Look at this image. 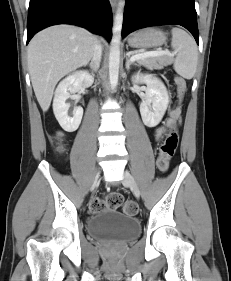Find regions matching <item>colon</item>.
<instances>
[{"label":"colon","instance_id":"obj_1","mask_svg":"<svg viewBox=\"0 0 231 281\" xmlns=\"http://www.w3.org/2000/svg\"><path fill=\"white\" fill-rule=\"evenodd\" d=\"M175 85L177 88V94L179 100L184 98L187 90V84L184 78L180 76L175 77ZM60 134L53 137V141L56 143L57 148L62 150L60 144ZM178 146V133L176 129H172L166 136L165 140L159 148V154L157 157L156 165L161 172H166L169 168V163ZM123 205V212L129 215H135L138 212V207L133 201H126L123 204V197L117 192H111L105 196V198H92L89 201V210L91 212H97L103 208L116 209Z\"/></svg>","mask_w":231,"mask_h":281}]
</instances>
